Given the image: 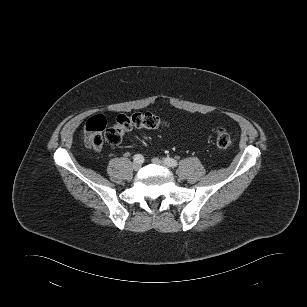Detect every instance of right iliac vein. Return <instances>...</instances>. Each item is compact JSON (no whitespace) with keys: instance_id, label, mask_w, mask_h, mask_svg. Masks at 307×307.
Listing matches in <instances>:
<instances>
[{"instance_id":"obj_1","label":"right iliac vein","mask_w":307,"mask_h":307,"mask_svg":"<svg viewBox=\"0 0 307 307\" xmlns=\"http://www.w3.org/2000/svg\"><path fill=\"white\" fill-rule=\"evenodd\" d=\"M133 169L135 171H138L140 168H141V162H134L133 165H132Z\"/></svg>"}]
</instances>
